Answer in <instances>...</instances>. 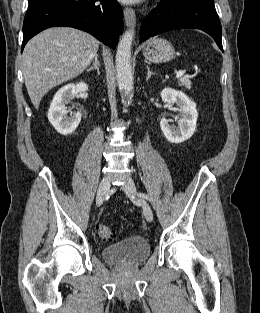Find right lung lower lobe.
<instances>
[{
    "label": "right lung lower lobe",
    "mask_w": 260,
    "mask_h": 313,
    "mask_svg": "<svg viewBox=\"0 0 260 313\" xmlns=\"http://www.w3.org/2000/svg\"><path fill=\"white\" fill-rule=\"evenodd\" d=\"M122 17L116 0H29L22 50L33 36L53 26L84 30L114 48L123 30Z\"/></svg>",
    "instance_id": "1"
}]
</instances>
